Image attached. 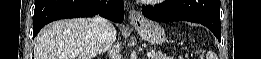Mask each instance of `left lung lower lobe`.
Listing matches in <instances>:
<instances>
[{
  "label": "left lung lower lobe",
  "instance_id": "1",
  "mask_svg": "<svg viewBox=\"0 0 261 59\" xmlns=\"http://www.w3.org/2000/svg\"><path fill=\"white\" fill-rule=\"evenodd\" d=\"M142 14L158 22L200 23L221 40L220 0H166L158 6H142Z\"/></svg>",
  "mask_w": 261,
  "mask_h": 59
}]
</instances>
